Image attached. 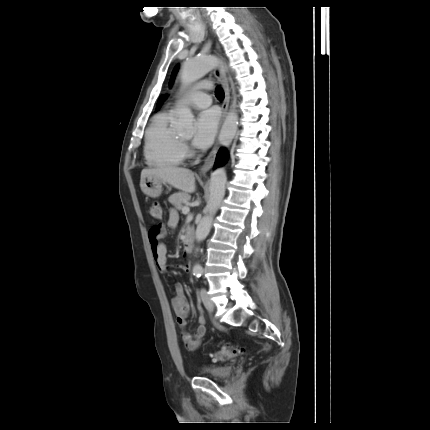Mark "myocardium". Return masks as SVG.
<instances>
[{
	"label": "myocardium",
	"instance_id": "1",
	"mask_svg": "<svg viewBox=\"0 0 430 430\" xmlns=\"http://www.w3.org/2000/svg\"><path fill=\"white\" fill-rule=\"evenodd\" d=\"M180 139V142L182 143V144H184V139L183 138H179Z\"/></svg>",
	"mask_w": 430,
	"mask_h": 430
}]
</instances>
